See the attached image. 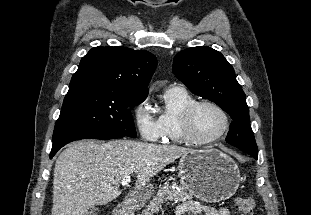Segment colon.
Listing matches in <instances>:
<instances>
[{"instance_id": "1", "label": "colon", "mask_w": 311, "mask_h": 215, "mask_svg": "<svg viewBox=\"0 0 311 215\" xmlns=\"http://www.w3.org/2000/svg\"><path fill=\"white\" fill-rule=\"evenodd\" d=\"M233 205L241 215H252L256 207V200L250 195H239L234 198Z\"/></svg>"}]
</instances>
